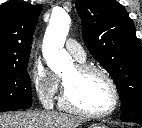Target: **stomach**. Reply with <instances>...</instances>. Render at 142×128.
<instances>
[{"label": "stomach", "instance_id": "stomach-1", "mask_svg": "<svg viewBox=\"0 0 142 128\" xmlns=\"http://www.w3.org/2000/svg\"><path fill=\"white\" fill-rule=\"evenodd\" d=\"M89 128H107L105 125H100V124H92L90 125Z\"/></svg>", "mask_w": 142, "mask_h": 128}]
</instances>
